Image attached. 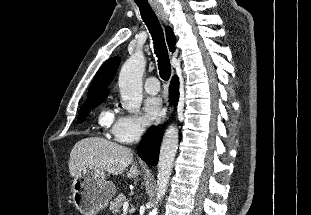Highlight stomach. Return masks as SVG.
Returning a JSON list of instances; mask_svg holds the SVG:
<instances>
[{"label":"stomach","mask_w":311,"mask_h":215,"mask_svg":"<svg viewBox=\"0 0 311 215\" xmlns=\"http://www.w3.org/2000/svg\"><path fill=\"white\" fill-rule=\"evenodd\" d=\"M73 202L83 215H96L115 195V185L104 171L80 169L73 181Z\"/></svg>","instance_id":"stomach-1"}]
</instances>
